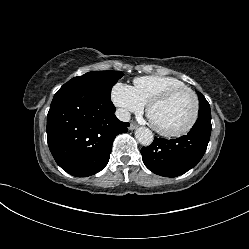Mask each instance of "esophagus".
<instances>
[{
	"label": "esophagus",
	"mask_w": 249,
	"mask_h": 249,
	"mask_svg": "<svg viewBox=\"0 0 249 249\" xmlns=\"http://www.w3.org/2000/svg\"><path fill=\"white\" fill-rule=\"evenodd\" d=\"M137 127H138L137 124L131 123L130 126H129V130H135Z\"/></svg>",
	"instance_id": "1"
}]
</instances>
